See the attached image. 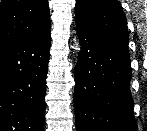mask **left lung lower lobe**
I'll list each match as a JSON object with an SVG mask.
<instances>
[{
  "label": "left lung lower lobe",
  "instance_id": "left-lung-lower-lobe-1",
  "mask_svg": "<svg viewBox=\"0 0 147 131\" xmlns=\"http://www.w3.org/2000/svg\"><path fill=\"white\" fill-rule=\"evenodd\" d=\"M81 50L75 68L76 131H137L127 47L76 24Z\"/></svg>",
  "mask_w": 147,
  "mask_h": 131
}]
</instances>
